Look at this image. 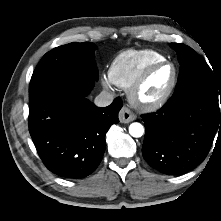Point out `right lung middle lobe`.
Listing matches in <instances>:
<instances>
[{
  "mask_svg": "<svg viewBox=\"0 0 221 221\" xmlns=\"http://www.w3.org/2000/svg\"><path fill=\"white\" fill-rule=\"evenodd\" d=\"M95 49L96 45L91 42L70 43L46 53L32 75L29 96L48 82L67 75H85L97 80Z\"/></svg>",
  "mask_w": 221,
  "mask_h": 221,
  "instance_id": "1",
  "label": "right lung middle lobe"
}]
</instances>
